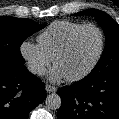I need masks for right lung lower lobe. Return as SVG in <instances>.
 <instances>
[{
  "mask_svg": "<svg viewBox=\"0 0 119 119\" xmlns=\"http://www.w3.org/2000/svg\"><path fill=\"white\" fill-rule=\"evenodd\" d=\"M45 98V84L24 64L0 65V119H28Z\"/></svg>",
  "mask_w": 119,
  "mask_h": 119,
  "instance_id": "1",
  "label": "right lung lower lobe"
}]
</instances>
